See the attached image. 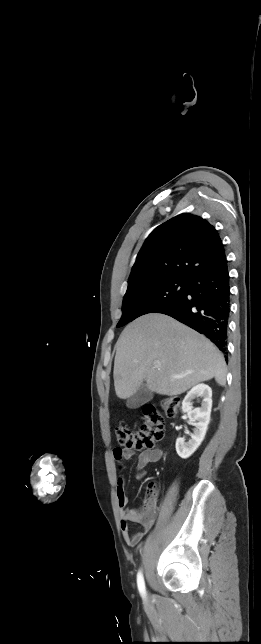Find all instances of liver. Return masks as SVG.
<instances>
[{
  "mask_svg": "<svg viewBox=\"0 0 261 644\" xmlns=\"http://www.w3.org/2000/svg\"><path fill=\"white\" fill-rule=\"evenodd\" d=\"M226 375L224 357L212 342L164 314L137 318L116 343L113 377L120 399L130 398L143 381L152 392L176 396L212 378L224 386Z\"/></svg>",
  "mask_w": 261,
  "mask_h": 644,
  "instance_id": "liver-1",
  "label": "liver"
}]
</instances>
